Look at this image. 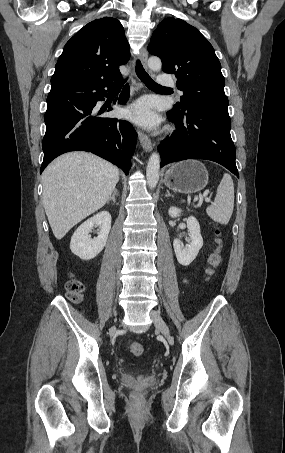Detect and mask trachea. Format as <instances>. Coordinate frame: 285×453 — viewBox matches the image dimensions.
<instances>
[{"label":"trachea","instance_id":"1","mask_svg":"<svg viewBox=\"0 0 285 453\" xmlns=\"http://www.w3.org/2000/svg\"><path fill=\"white\" fill-rule=\"evenodd\" d=\"M136 73H137V76L139 77V79L149 88H165L159 84H157L149 75L148 73L145 71V69L143 68L141 62L139 60H137L136 62Z\"/></svg>","mask_w":285,"mask_h":453}]
</instances>
